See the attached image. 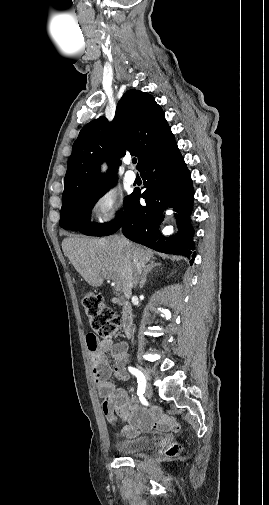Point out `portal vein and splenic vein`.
Listing matches in <instances>:
<instances>
[{
    "label": "portal vein and splenic vein",
    "instance_id": "portal-vein-and-splenic-vein-1",
    "mask_svg": "<svg viewBox=\"0 0 269 505\" xmlns=\"http://www.w3.org/2000/svg\"><path fill=\"white\" fill-rule=\"evenodd\" d=\"M104 278H106L107 280H114V278L112 276H110V275L104 276ZM113 285H114V288H115L116 291H120L121 290V284H119V283L116 282Z\"/></svg>",
    "mask_w": 269,
    "mask_h": 505
}]
</instances>
